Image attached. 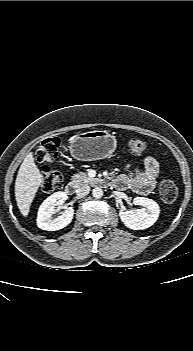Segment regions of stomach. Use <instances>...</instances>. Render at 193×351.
Returning a JSON list of instances; mask_svg holds the SVG:
<instances>
[{
	"label": "stomach",
	"instance_id": "stomach-1",
	"mask_svg": "<svg viewBox=\"0 0 193 351\" xmlns=\"http://www.w3.org/2000/svg\"><path fill=\"white\" fill-rule=\"evenodd\" d=\"M115 149V137L105 130L80 133L71 140L69 146L71 156L80 161H93L106 158Z\"/></svg>",
	"mask_w": 193,
	"mask_h": 351
}]
</instances>
